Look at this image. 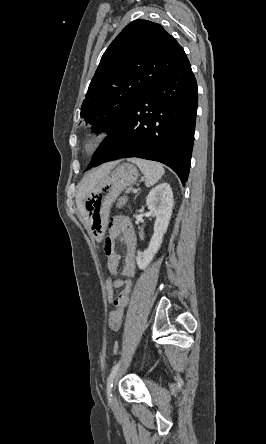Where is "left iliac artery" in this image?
<instances>
[{
  "mask_svg": "<svg viewBox=\"0 0 266 444\" xmlns=\"http://www.w3.org/2000/svg\"><path fill=\"white\" fill-rule=\"evenodd\" d=\"M119 367H120V361L113 367V369H112V371H111V373H110V375H109V377L107 379V396H108L109 399H110L111 390H112V387H113V380H114V378H115V376H116V374H117V372L119 370Z\"/></svg>",
  "mask_w": 266,
  "mask_h": 444,
  "instance_id": "1",
  "label": "left iliac artery"
}]
</instances>
